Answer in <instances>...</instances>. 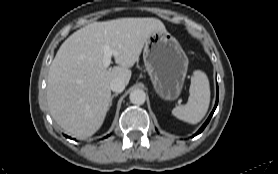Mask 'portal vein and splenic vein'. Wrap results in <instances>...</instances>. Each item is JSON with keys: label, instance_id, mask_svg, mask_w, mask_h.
Segmentation results:
<instances>
[{"label": "portal vein and splenic vein", "instance_id": "18ae733b", "mask_svg": "<svg viewBox=\"0 0 278 174\" xmlns=\"http://www.w3.org/2000/svg\"><path fill=\"white\" fill-rule=\"evenodd\" d=\"M103 51H104L103 65L105 68H108L111 63L112 56L117 55L118 53L112 50L108 45L104 46Z\"/></svg>", "mask_w": 278, "mask_h": 174}]
</instances>
